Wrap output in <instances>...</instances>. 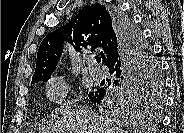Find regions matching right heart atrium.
Segmentation results:
<instances>
[{"label": "right heart atrium", "instance_id": "obj_1", "mask_svg": "<svg viewBox=\"0 0 184 133\" xmlns=\"http://www.w3.org/2000/svg\"><path fill=\"white\" fill-rule=\"evenodd\" d=\"M46 93L52 102L61 104L68 98L69 85L62 77H55L48 82Z\"/></svg>", "mask_w": 184, "mask_h": 133}]
</instances>
